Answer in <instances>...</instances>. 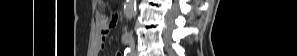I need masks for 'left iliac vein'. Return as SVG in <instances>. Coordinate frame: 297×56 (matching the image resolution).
<instances>
[{
  "instance_id": "4c4485c4",
  "label": "left iliac vein",
  "mask_w": 297,
  "mask_h": 56,
  "mask_svg": "<svg viewBox=\"0 0 297 56\" xmlns=\"http://www.w3.org/2000/svg\"><path fill=\"white\" fill-rule=\"evenodd\" d=\"M133 56H138L136 51H133Z\"/></svg>"
}]
</instances>
